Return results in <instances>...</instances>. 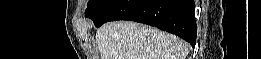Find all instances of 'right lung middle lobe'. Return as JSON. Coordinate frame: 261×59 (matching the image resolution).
Listing matches in <instances>:
<instances>
[{
	"mask_svg": "<svg viewBox=\"0 0 261 59\" xmlns=\"http://www.w3.org/2000/svg\"><path fill=\"white\" fill-rule=\"evenodd\" d=\"M114 2L115 0H89L85 10V16L88 18L97 16Z\"/></svg>",
	"mask_w": 261,
	"mask_h": 59,
	"instance_id": "obj_1",
	"label": "right lung middle lobe"
}]
</instances>
